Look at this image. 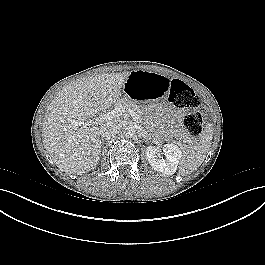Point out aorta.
Listing matches in <instances>:
<instances>
[{"instance_id": "aorta-1", "label": "aorta", "mask_w": 265, "mask_h": 265, "mask_svg": "<svg viewBox=\"0 0 265 265\" xmlns=\"http://www.w3.org/2000/svg\"><path fill=\"white\" fill-rule=\"evenodd\" d=\"M135 128L132 125H126L123 128V133L126 137H133L135 135Z\"/></svg>"}]
</instances>
